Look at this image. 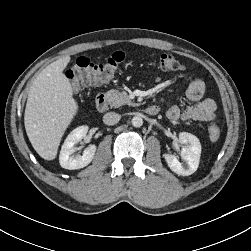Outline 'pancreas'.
Here are the masks:
<instances>
[{
  "label": "pancreas",
  "instance_id": "1",
  "mask_svg": "<svg viewBox=\"0 0 251 251\" xmlns=\"http://www.w3.org/2000/svg\"><path fill=\"white\" fill-rule=\"evenodd\" d=\"M106 97L114 108H118L125 104L134 105L125 91L111 89L106 92Z\"/></svg>",
  "mask_w": 251,
  "mask_h": 251
}]
</instances>
